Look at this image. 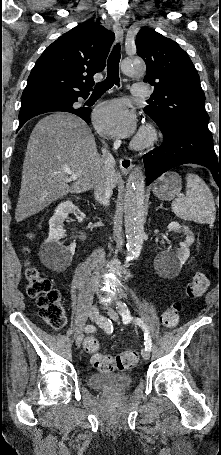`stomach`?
I'll use <instances>...</instances> for the list:
<instances>
[{"label": "stomach", "mask_w": 221, "mask_h": 455, "mask_svg": "<svg viewBox=\"0 0 221 455\" xmlns=\"http://www.w3.org/2000/svg\"><path fill=\"white\" fill-rule=\"evenodd\" d=\"M182 188V180L176 172H167L159 177L153 185V193L161 200L169 201L177 196Z\"/></svg>", "instance_id": "obj_1"}]
</instances>
